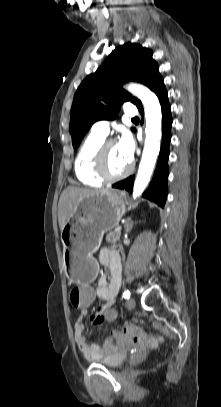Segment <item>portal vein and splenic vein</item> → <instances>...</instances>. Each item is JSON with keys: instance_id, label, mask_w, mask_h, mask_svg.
Segmentation results:
<instances>
[{"instance_id": "1", "label": "portal vein and splenic vein", "mask_w": 221, "mask_h": 407, "mask_svg": "<svg viewBox=\"0 0 221 407\" xmlns=\"http://www.w3.org/2000/svg\"><path fill=\"white\" fill-rule=\"evenodd\" d=\"M121 229H122L121 227H118V228H116L115 230L120 232Z\"/></svg>"}]
</instances>
